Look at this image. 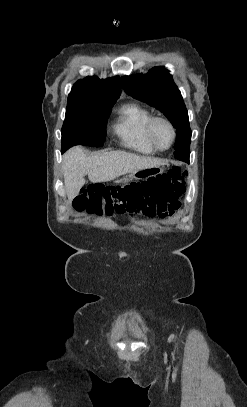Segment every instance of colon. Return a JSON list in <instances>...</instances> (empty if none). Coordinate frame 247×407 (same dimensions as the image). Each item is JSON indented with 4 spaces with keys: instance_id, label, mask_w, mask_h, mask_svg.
Segmentation results:
<instances>
[{
    "instance_id": "colon-1",
    "label": "colon",
    "mask_w": 247,
    "mask_h": 407,
    "mask_svg": "<svg viewBox=\"0 0 247 407\" xmlns=\"http://www.w3.org/2000/svg\"><path fill=\"white\" fill-rule=\"evenodd\" d=\"M185 175L186 171L174 166L167 173L121 185H89L74 199L73 207L99 215H130L143 209L148 202L174 203L185 191Z\"/></svg>"
}]
</instances>
